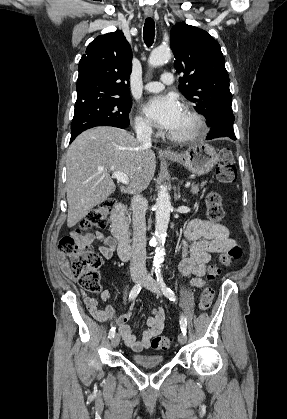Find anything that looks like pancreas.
Listing matches in <instances>:
<instances>
[{"label":"pancreas","instance_id":"obj_1","mask_svg":"<svg viewBox=\"0 0 287 419\" xmlns=\"http://www.w3.org/2000/svg\"><path fill=\"white\" fill-rule=\"evenodd\" d=\"M204 185L202 184V185H198V184H192V186H191V192L193 193V194H197L198 192H199V188L201 187H203ZM129 222H130V220H129Z\"/></svg>","mask_w":287,"mask_h":419}]
</instances>
